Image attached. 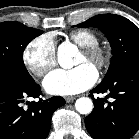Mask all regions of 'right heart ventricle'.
Masks as SVG:
<instances>
[{"instance_id":"obj_1","label":"right heart ventricle","mask_w":139,"mask_h":139,"mask_svg":"<svg viewBox=\"0 0 139 139\" xmlns=\"http://www.w3.org/2000/svg\"><path fill=\"white\" fill-rule=\"evenodd\" d=\"M69 38L80 47L91 46L98 43L97 35L92 31L85 29L71 32Z\"/></svg>"}]
</instances>
